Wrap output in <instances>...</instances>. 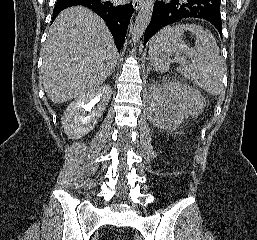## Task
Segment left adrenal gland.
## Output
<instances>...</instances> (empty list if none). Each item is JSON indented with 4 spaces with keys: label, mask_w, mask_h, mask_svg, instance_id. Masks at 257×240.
<instances>
[{
    "label": "left adrenal gland",
    "mask_w": 257,
    "mask_h": 240,
    "mask_svg": "<svg viewBox=\"0 0 257 240\" xmlns=\"http://www.w3.org/2000/svg\"><path fill=\"white\" fill-rule=\"evenodd\" d=\"M147 69H151V67H150V66H148V67H147Z\"/></svg>",
    "instance_id": "a2214340"
}]
</instances>
